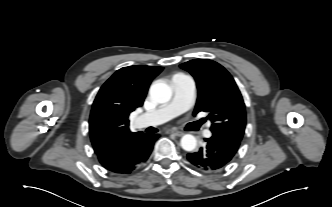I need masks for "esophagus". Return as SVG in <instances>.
Returning a JSON list of instances; mask_svg holds the SVG:
<instances>
[{
  "label": "esophagus",
  "mask_w": 332,
  "mask_h": 207,
  "mask_svg": "<svg viewBox=\"0 0 332 207\" xmlns=\"http://www.w3.org/2000/svg\"><path fill=\"white\" fill-rule=\"evenodd\" d=\"M169 134H173V135H175V136H182L184 133L183 132H181V131H179V130H176V129H171V130H169V131H167Z\"/></svg>",
  "instance_id": "34e87169"
}]
</instances>
